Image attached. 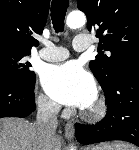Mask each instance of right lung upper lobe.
Instances as JSON below:
<instances>
[{"instance_id": "obj_1", "label": "right lung upper lobe", "mask_w": 139, "mask_h": 150, "mask_svg": "<svg viewBox=\"0 0 139 150\" xmlns=\"http://www.w3.org/2000/svg\"><path fill=\"white\" fill-rule=\"evenodd\" d=\"M50 0H0V47L31 52L49 12Z\"/></svg>"}]
</instances>
